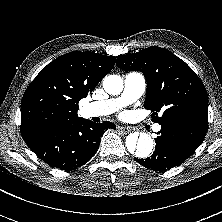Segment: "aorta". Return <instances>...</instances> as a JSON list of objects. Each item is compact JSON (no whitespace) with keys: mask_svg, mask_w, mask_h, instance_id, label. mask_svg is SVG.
Returning a JSON list of instances; mask_svg holds the SVG:
<instances>
[{"mask_svg":"<svg viewBox=\"0 0 222 222\" xmlns=\"http://www.w3.org/2000/svg\"><path fill=\"white\" fill-rule=\"evenodd\" d=\"M104 90L117 95L123 90V80L118 75H109L103 81ZM128 153L140 159L147 158L153 151L154 141L147 133H132L126 138Z\"/></svg>","mask_w":222,"mask_h":222,"instance_id":"obj_1","label":"aorta"}]
</instances>
